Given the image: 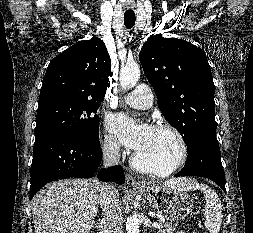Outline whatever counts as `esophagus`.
<instances>
[{
  "label": "esophagus",
  "mask_w": 253,
  "mask_h": 233,
  "mask_svg": "<svg viewBox=\"0 0 253 233\" xmlns=\"http://www.w3.org/2000/svg\"><path fill=\"white\" fill-rule=\"evenodd\" d=\"M126 183L131 187L143 186V183L136 181V179L129 173L126 174Z\"/></svg>",
  "instance_id": "obj_1"
}]
</instances>
